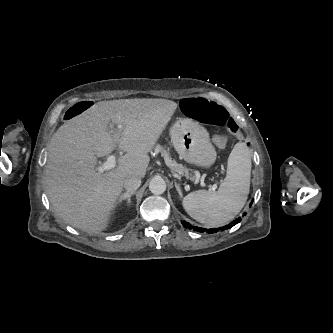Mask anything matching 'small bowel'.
I'll return each instance as SVG.
<instances>
[{"label":"small bowel","instance_id":"1","mask_svg":"<svg viewBox=\"0 0 333 333\" xmlns=\"http://www.w3.org/2000/svg\"><path fill=\"white\" fill-rule=\"evenodd\" d=\"M210 142L212 146L223 149L229 144V137L226 134L216 133L212 135Z\"/></svg>","mask_w":333,"mask_h":333}]
</instances>
